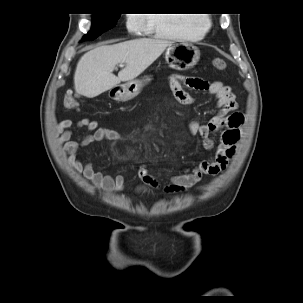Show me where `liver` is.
I'll use <instances>...</instances> for the list:
<instances>
[{
    "mask_svg": "<svg viewBox=\"0 0 303 303\" xmlns=\"http://www.w3.org/2000/svg\"><path fill=\"white\" fill-rule=\"evenodd\" d=\"M172 43L166 39L140 38L95 47L77 64L74 74L76 93L94 98L122 81L135 79ZM117 64H125V67L115 76L112 71Z\"/></svg>",
    "mask_w": 303,
    "mask_h": 303,
    "instance_id": "obj_1",
    "label": "liver"
}]
</instances>
